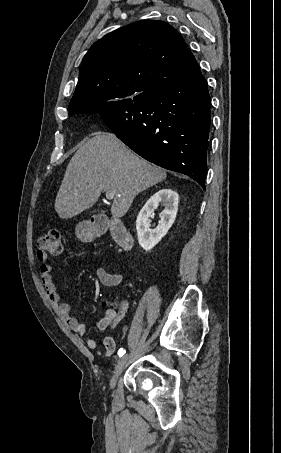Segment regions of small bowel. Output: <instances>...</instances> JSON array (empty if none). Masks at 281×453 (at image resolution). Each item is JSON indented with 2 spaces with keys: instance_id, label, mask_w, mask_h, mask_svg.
I'll return each mask as SVG.
<instances>
[{
  "instance_id": "obj_1",
  "label": "small bowel",
  "mask_w": 281,
  "mask_h": 453,
  "mask_svg": "<svg viewBox=\"0 0 281 453\" xmlns=\"http://www.w3.org/2000/svg\"><path fill=\"white\" fill-rule=\"evenodd\" d=\"M39 274L42 281V284L45 287L48 299L50 303L54 306L56 311L61 315L69 328L81 335L84 336L87 333L86 326L83 321L72 314V311L69 305L61 301L60 295L57 291L56 285L51 272V267L48 264H41L39 267ZM97 277L99 281L104 286H119L122 283L123 277L120 273H109L103 269H98ZM128 303L122 302L119 307V312L115 309H107L104 313L103 318L97 322L98 331H109L112 326L117 324L120 319L127 316L128 312ZM86 346L89 349L97 348V339L96 337L89 336L85 340ZM104 348L106 351V356L111 357L114 354V351L117 347V342L115 337L112 334L107 335L103 341Z\"/></svg>"
}]
</instances>
